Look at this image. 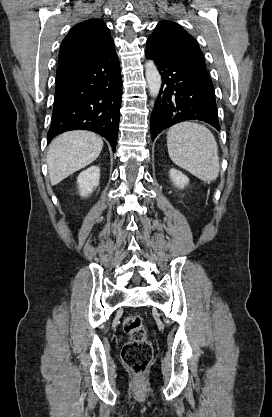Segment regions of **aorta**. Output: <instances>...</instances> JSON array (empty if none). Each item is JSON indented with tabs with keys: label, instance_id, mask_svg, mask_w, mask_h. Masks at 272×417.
<instances>
[{
	"label": "aorta",
	"instance_id": "aorta-1",
	"mask_svg": "<svg viewBox=\"0 0 272 417\" xmlns=\"http://www.w3.org/2000/svg\"><path fill=\"white\" fill-rule=\"evenodd\" d=\"M145 74L150 95L156 98L161 89V75L153 60H148L145 64Z\"/></svg>",
	"mask_w": 272,
	"mask_h": 417
}]
</instances>
